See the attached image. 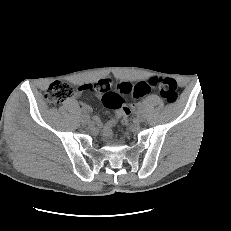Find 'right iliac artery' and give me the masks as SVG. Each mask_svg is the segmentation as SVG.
Masks as SVG:
<instances>
[{"mask_svg":"<svg viewBox=\"0 0 231 231\" xmlns=\"http://www.w3.org/2000/svg\"><path fill=\"white\" fill-rule=\"evenodd\" d=\"M87 111H88V110H87V108H84V107L82 108V112H83V113H85V114H86V113H87Z\"/></svg>","mask_w":231,"mask_h":231,"instance_id":"right-iliac-artery-1","label":"right iliac artery"}]
</instances>
